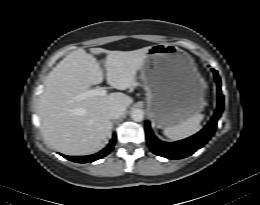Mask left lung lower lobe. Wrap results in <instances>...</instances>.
I'll list each match as a JSON object with an SVG mask.
<instances>
[{
  "instance_id": "1",
  "label": "left lung lower lobe",
  "mask_w": 260,
  "mask_h": 205,
  "mask_svg": "<svg viewBox=\"0 0 260 205\" xmlns=\"http://www.w3.org/2000/svg\"><path fill=\"white\" fill-rule=\"evenodd\" d=\"M213 72L217 82L218 105L217 110L215 111L210 122L197 134L187 139L171 143L163 142L157 139L151 131L149 122H147L145 127L147 143L153 153L168 159H182L193 154L197 149L204 146V144L207 143V141L214 134L217 121L223 110L224 96L221 93V80L218 77V73L216 70H213Z\"/></svg>"
}]
</instances>
